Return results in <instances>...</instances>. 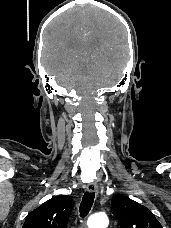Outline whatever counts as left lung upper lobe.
<instances>
[{
  "label": "left lung upper lobe",
  "mask_w": 171,
  "mask_h": 228,
  "mask_svg": "<svg viewBox=\"0 0 171 228\" xmlns=\"http://www.w3.org/2000/svg\"><path fill=\"white\" fill-rule=\"evenodd\" d=\"M111 210L121 228H162L148 208L122 194L113 197Z\"/></svg>",
  "instance_id": "obj_1"
}]
</instances>
